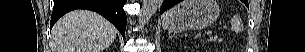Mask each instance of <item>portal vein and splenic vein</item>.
Wrapping results in <instances>:
<instances>
[{"label": "portal vein and splenic vein", "instance_id": "1", "mask_svg": "<svg viewBox=\"0 0 305 52\" xmlns=\"http://www.w3.org/2000/svg\"><path fill=\"white\" fill-rule=\"evenodd\" d=\"M207 34H208V35H210V34H211V32H208Z\"/></svg>", "mask_w": 305, "mask_h": 52}]
</instances>
